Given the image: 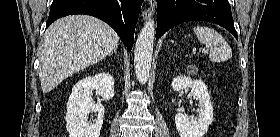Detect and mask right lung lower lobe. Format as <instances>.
<instances>
[{
	"label": "right lung lower lobe",
	"instance_id": "98d812e1",
	"mask_svg": "<svg viewBox=\"0 0 280 137\" xmlns=\"http://www.w3.org/2000/svg\"><path fill=\"white\" fill-rule=\"evenodd\" d=\"M142 2L143 0H53L46 27L66 15H91L109 24L130 51Z\"/></svg>",
	"mask_w": 280,
	"mask_h": 137
}]
</instances>
